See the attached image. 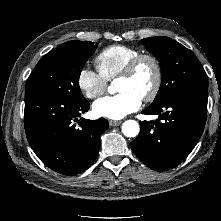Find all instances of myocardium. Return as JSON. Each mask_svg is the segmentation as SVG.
<instances>
[{
	"label": "myocardium",
	"instance_id": "1",
	"mask_svg": "<svg viewBox=\"0 0 221 221\" xmlns=\"http://www.w3.org/2000/svg\"><path fill=\"white\" fill-rule=\"evenodd\" d=\"M143 62L151 63L155 71V79H154L153 86L151 90L149 91V93H147L146 95L142 97L143 101L152 102L158 96L162 87V83H163L162 65L156 56L149 54V53L138 54L127 63V65L125 66V68L122 70V72L119 74L118 77L119 78H132Z\"/></svg>",
	"mask_w": 221,
	"mask_h": 221
}]
</instances>
